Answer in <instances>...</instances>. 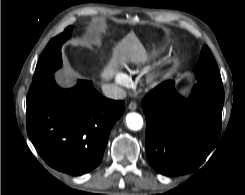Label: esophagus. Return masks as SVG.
<instances>
[{"label":"esophagus","mask_w":245,"mask_h":195,"mask_svg":"<svg viewBox=\"0 0 245 195\" xmlns=\"http://www.w3.org/2000/svg\"><path fill=\"white\" fill-rule=\"evenodd\" d=\"M128 109L136 110L137 109V104L135 102H130L129 105H128Z\"/></svg>","instance_id":"obj_1"}]
</instances>
